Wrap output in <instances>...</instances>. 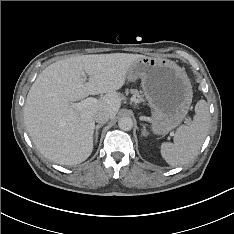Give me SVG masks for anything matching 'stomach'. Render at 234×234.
<instances>
[{"instance_id":"1","label":"stomach","mask_w":234,"mask_h":234,"mask_svg":"<svg viewBox=\"0 0 234 234\" xmlns=\"http://www.w3.org/2000/svg\"><path fill=\"white\" fill-rule=\"evenodd\" d=\"M142 80V89L152 108V130L163 135L186 117L193 91L185 70L175 62L155 57L135 61L126 73L128 82Z\"/></svg>"}]
</instances>
